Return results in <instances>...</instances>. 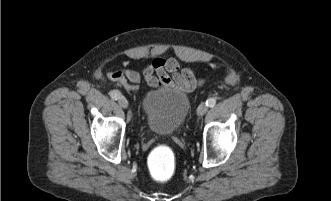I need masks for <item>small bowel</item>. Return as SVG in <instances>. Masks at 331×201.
Here are the masks:
<instances>
[{
  "instance_id": "c3829d8e",
  "label": "small bowel",
  "mask_w": 331,
  "mask_h": 201,
  "mask_svg": "<svg viewBox=\"0 0 331 201\" xmlns=\"http://www.w3.org/2000/svg\"><path fill=\"white\" fill-rule=\"evenodd\" d=\"M142 77L152 88L175 86L191 92L196 87L193 71L189 68H182L178 60L172 57L154 58L142 69L141 73L135 69L126 68L123 71L108 74L110 80L121 83L130 92L137 91V85Z\"/></svg>"
}]
</instances>
